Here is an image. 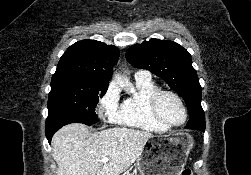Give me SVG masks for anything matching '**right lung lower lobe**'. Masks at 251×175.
I'll return each instance as SVG.
<instances>
[{"instance_id": "right-lung-lower-lobe-1", "label": "right lung lower lobe", "mask_w": 251, "mask_h": 175, "mask_svg": "<svg viewBox=\"0 0 251 175\" xmlns=\"http://www.w3.org/2000/svg\"><path fill=\"white\" fill-rule=\"evenodd\" d=\"M80 119L78 118H74V117H68L65 118L63 120H55V121H51V122H47L46 121V137L49 141V143L51 142V138L53 136V134L62 126L69 124V123H73V122H78Z\"/></svg>"}]
</instances>
